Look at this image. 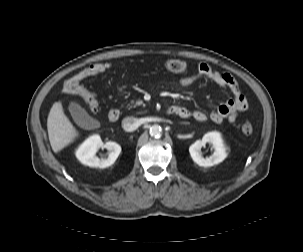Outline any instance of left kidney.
<instances>
[{
    "instance_id": "left-kidney-1",
    "label": "left kidney",
    "mask_w": 303,
    "mask_h": 252,
    "mask_svg": "<svg viewBox=\"0 0 303 252\" xmlns=\"http://www.w3.org/2000/svg\"><path fill=\"white\" fill-rule=\"evenodd\" d=\"M210 143L213 146V153L204 158L201 153V148ZM227 148L224 145L221 134L217 131L206 133L201 140L195 141L190 147L189 152L193 161L202 167H211L221 163L227 157Z\"/></svg>"
}]
</instances>
